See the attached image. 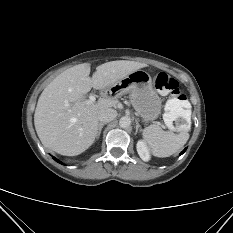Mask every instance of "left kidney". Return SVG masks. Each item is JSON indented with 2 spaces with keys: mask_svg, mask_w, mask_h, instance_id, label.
I'll return each instance as SVG.
<instances>
[{
  "mask_svg": "<svg viewBox=\"0 0 233 233\" xmlns=\"http://www.w3.org/2000/svg\"><path fill=\"white\" fill-rule=\"evenodd\" d=\"M137 152L140 156V158L143 161H149L150 160V152L148 147L146 146V143L142 140H139L136 145Z\"/></svg>",
  "mask_w": 233,
  "mask_h": 233,
  "instance_id": "1",
  "label": "left kidney"
}]
</instances>
